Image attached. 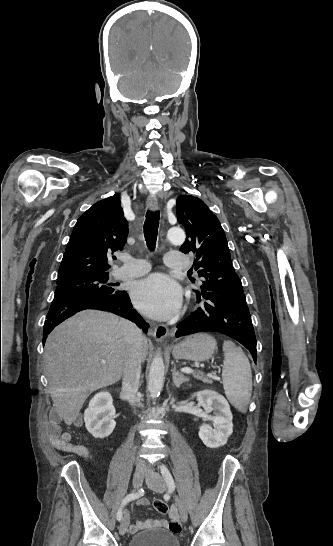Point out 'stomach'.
Masks as SVG:
<instances>
[{"mask_svg":"<svg viewBox=\"0 0 333 546\" xmlns=\"http://www.w3.org/2000/svg\"><path fill=\"white\" fill-rule=\"evenodd\" d=\"M216 347L217 342L212 336L206 333H198L187 337L182 342L173 346L172 354L176 359L200 362L210 359Z\"/></svg>","mask_w":333,"mask_h":546,"instance_id":"stomach-1","label":"stomach"}]
</instances>
